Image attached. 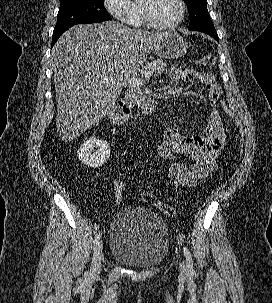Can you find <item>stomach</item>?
Here are the masks:
<instances>
[{"label": "stomach", "mask_w": 272, "mask_h": 303, "mask_svg": "<svg viewBox=\"0 0 272 303\" xmlns=\"http://www.w3.org/2000/svg\"><path fill=\"white\" fill-rule=\"evenodd\" d=\"M187 50L188 43L177 32L170 31L155 48V53L162 59H175L182 57Z\"/></svg>", "instance_id": "stomach-1"}]
</instances>
